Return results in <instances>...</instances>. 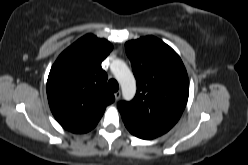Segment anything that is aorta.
<instances>
[{
    "label": "aorta",
    "mask_w": 248,
    "mask_h": 165,
    "mask_svg": "<svg viewBox=\"0 0 248 165\" xmlns=\"http://www.w3.org/2000/svg\"><path fill=\"white\" fill-rule=\"evenodd\" d=\"M110 69L122 88V95L125 100H131L136 94V81L133 73L122 60H114Z\"/></svg>",
    "instance_id": "1"
}]
</instances>
